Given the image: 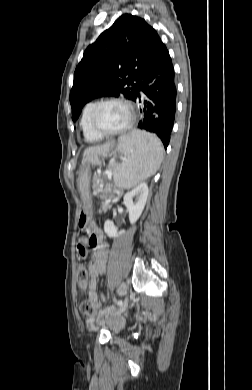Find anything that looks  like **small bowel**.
Listing matches in <instances>:
<instances>
[{
    "label": "small bowel",
    "instance_id": "obj_1",
    "mask_svg": "<svg viewBox=\"0 0 252 390\" xmlns=\"http://www.w3.org/2000/svg\"><path fill=\"white\" fill-rule=\"evenodd\" d=\"M88 245L94 247L95 249L94 257L89 264L90 282L88 285V296L94 305V309L100 310L102 304L98 295L97 279L100 275L106 273L109 247L103 240L102 231L96 227L90 228L88 230V234L80 237L78 241L77 251L81 258H85L87 256Z\"/></svg>",
    "mask_w": 252,
    "mask_h": 390
}]
</instances>
